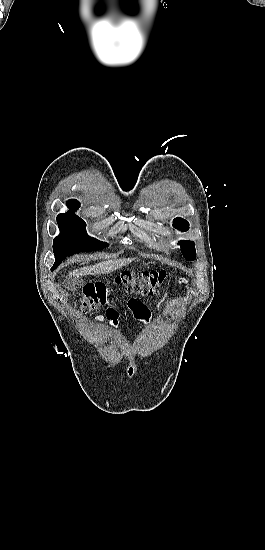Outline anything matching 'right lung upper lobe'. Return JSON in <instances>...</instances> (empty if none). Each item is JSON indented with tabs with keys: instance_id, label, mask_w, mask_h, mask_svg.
<instances>
[{
	"instance_id": "1",
	"label": "right lung upper lobe",
	"mask_w": 265,
	"mask_h": 550,
	"mask_svg": "<svg viewBox=\"0 0 265 550\" xmlns=\"http://www.w3.org/2000/svg\"><path fill=\"white\" fill-rule=\"evenodd\" d=\"M73 203H78V202L75 200H70L67 204H73Z\"/></svg>"
}]
</instances>
